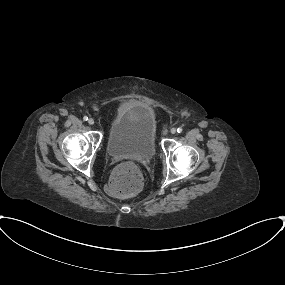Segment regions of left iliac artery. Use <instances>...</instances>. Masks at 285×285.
I'll list each match as a JSON object with an SVG mask.
<instances>
[{
    "mask_svg": "<svg viewBox=\"0 0 285 285\" xmlns=\"http://www.w3.org/2000/svg\"><path fill=\"white\" fill-rule=\"evenodd\" d=\"M177 132H178V133H181V132H182V128H180V127L177 128Z\"/></svg>",
    "mask_w": 285,
    "mask_h": 285,
    "instance_id": "44dca946",
    "label": "left iliac artery"
}]
</instances>
